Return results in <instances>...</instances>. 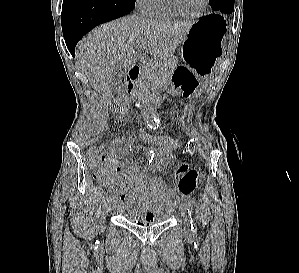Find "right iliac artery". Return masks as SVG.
Returning a JSON list of instances; mask_svg holds the SVG:
<instances>
[{
	"instance_id": "obj_1",
	"label": "right iliac artery",
	"mask_w": 299,
	"mask_h": 273,
	"mask_svg": "<svg viewBox=\"0 0 299 273\" xmlns=\"http://www.w3.org/2000/svg\"><path fill=\"white\" fill-rule=\"evenodd\" d=\"M110 199H111V200L114 199V196L110 197Z\"/></svg>"
}]
</instances>
